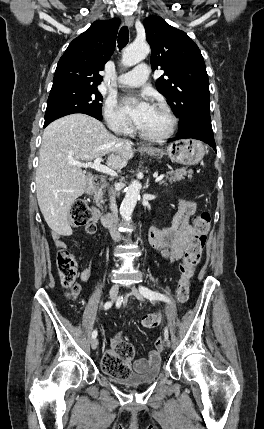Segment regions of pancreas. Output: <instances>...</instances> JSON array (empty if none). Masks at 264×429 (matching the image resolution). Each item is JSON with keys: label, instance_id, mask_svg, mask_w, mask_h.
Instances as JSON below:
<instances>
[{"label": "pancreas", "instance_id": "cf45deb5", "mask_svg": "<svg viewBox=\"0 0 264 429\" xmlns=\"http://www.w3.org/2000/svg\"><path fill=\"white\" fill-rule=\"evenodd\" d=\"M192 174H193V170H187V168L184 167V168L169 172L166 179L169 180L170 183H173V182H177V181L182 180L184 178V176H186V175H188L190 177ZM106 187H107V183L101 182L100 184H97L93 189L94 198H95L97 204H99V205L104 203V200H103L104 191H103V189H105Z\"/></svg>", "mask_w": 264, "mask_h": 429}]
</instances>
